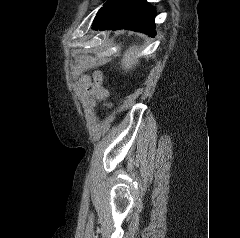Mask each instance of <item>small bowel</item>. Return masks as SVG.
<instances>
[{
	"mask_svg": "<svg viewBox=\"0 0 240 238\" xmlns=\"http://www.w3.org/2000/svg\"><path fill=\"white\" fill-rule=\"evenodd\" d=\"M85 89L92 94H95L101 98H107L109 93L107 90L101 87L100 77L96 75L93 81H85Z\"/></svg>",
	"mask_w": 240,
	"mask_h": 238,
	"instance_id": "1",
	"label": "small bowel"
}]
</instances>
